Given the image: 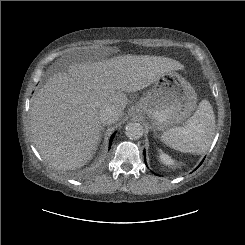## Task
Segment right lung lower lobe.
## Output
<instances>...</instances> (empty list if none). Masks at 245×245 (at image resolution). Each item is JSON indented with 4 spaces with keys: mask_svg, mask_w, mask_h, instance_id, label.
<instances>
[{
    "mask_svg": "<svg viewBox=\"0 0 245 245\" xmlns=\"http://www.w3.org/2000/svg\"><path fill=\"white\" fill-rule=\"evenodd\" d=\"M114 136H115V134H113V135L111 136V138H110V141H109V147H110L111 144H112V141H113Z\"/></svg>",
    "mask_w": 245,
    "mask_h": 245,
    "instance_id": "obj_1",
    "label": "right lung lower lobe"
}]
</instances>
